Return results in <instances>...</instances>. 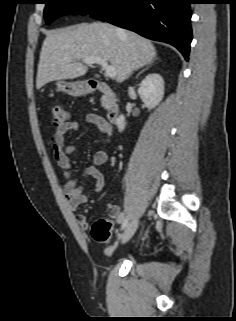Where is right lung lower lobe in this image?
<instances>
[{"label":"right lung lower lobe","mask_w":236,"mask_h":321,"mask_svg":"<svg viewBox=\"0 0 236 321\" xmlns=\"http://www.w3.org/2000/svg\"><path fill=\"white\" fill-rule=\"evenodd\" d=\"M191 0H111L90 17L175 46L188 61Z\"/></svg>","instance_id":"1"}]
</instances>
